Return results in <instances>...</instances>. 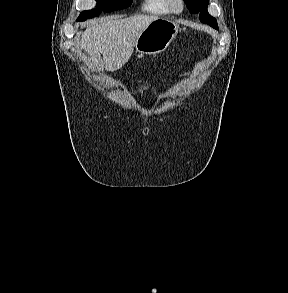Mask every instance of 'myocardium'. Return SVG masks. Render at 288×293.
Returning a JSON list of instances; mask_svg holds the SVG:
<instances>
[{
	"label": "myocardium",
	"instance_id": "f54148a6",
	"mask_svg": "<svg viewBox=\"0 0 288 293\" xmlns=\"http://www.w3.org/2000/svg\"><path fill=\"white\" fill-rule=\"evenodd\" d=\"M172 12L179 13L184 8V0H167Z\"/></svg>",
	"mask_w": 288,
	"mask_h": 293
}]
</instances>
